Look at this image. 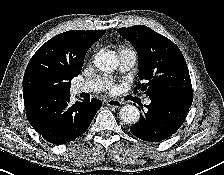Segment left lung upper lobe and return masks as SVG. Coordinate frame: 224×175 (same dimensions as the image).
I'll return each mask as SVG.
<instances>
[{
	"label": "left lung upper lobe",
	"mask_w": 224,
	"mask_h": 175,
	"mask_svg": "<svg viewBox=\"0 0 224 175\" xmlns=\"http://www.w3.org/2000/svg\"><path fill=\"white\" fill-rule=\"evenodd\" d=\"M117 32L132 43L139 56L136 88L149 97L158 95L193 96L191 79L179 48L168 38L146 26L120 28Z\"/></svg>",
	"instance_id": "5c2ea615"
}]
</instances>
